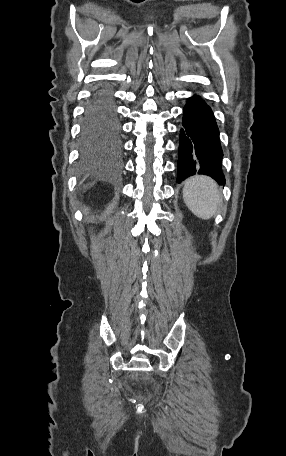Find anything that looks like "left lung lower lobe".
Instances as JSON below:
<instances>
[{"label":"left lung lower lobe","mask_w":286,"mask_h":456,"mask_svg":"<svg viewBox=\"0 0 286 456\" xmlns=\"http://www.w3.org/2000/svg\"><path fill=\"white\" fill-rule=\"evenodd\" d=\"M177 183L196 173L225 184L221 169L223 152L219 130L211 108L199 97H191L183 114Z\"/></svg>","instance_id":"left-lung-lower-lobe-1"}]
</instances>
